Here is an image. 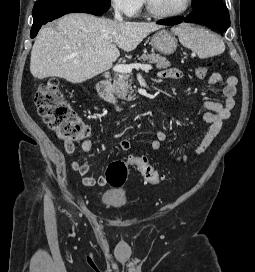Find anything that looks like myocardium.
Wrapping results in <instances>:
<instances>
[{
	"instance_id": "obj_1",
	"label": "myocardium",
	"mask_w": 255,
	"mask_h": 272,
	"mask_svg": "<svg viewBox=\"0 0 255 272\" xmlns=\"http://www.w3.org/2000/svg\"><path fill=\"white\" fill-rule=\"evenodd\" d=\"M193 0H186V4L180 10L174 12H159L152 6L151 0H144L145 9L148 15L158 19H169L178 17L189 10L192 5Z\"/></svg>"
}]
</instances>
